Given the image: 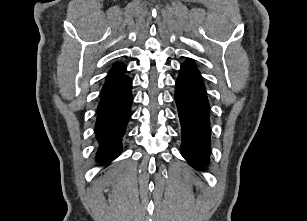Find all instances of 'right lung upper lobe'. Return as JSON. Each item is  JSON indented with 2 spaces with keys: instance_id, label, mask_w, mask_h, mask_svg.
Segmentation results:
<instances>
[{
  "instance_id": "cb5924a9",
  "label": "right lung upper lobe",
  "mask_w": 307,
  "mask_h": 221,
  "mask_svg": "<svg viewBox=\"0 0 307 221\" xmlns=\"http://www.w3.org/2000/svg\"><path fill=\"white\" fill-rule=\"evenodd\" d=\"M126 67L120 64H116L113 69L108 73V79L104 84L102 90L111 89L129 80V77L125 75Z\"/></svg>"
}]
</instances>
